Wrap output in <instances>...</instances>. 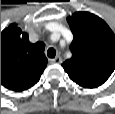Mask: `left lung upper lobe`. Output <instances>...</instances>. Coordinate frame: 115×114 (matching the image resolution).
I'll use <instances>...</instances> for the list:
<instances>
[{
  "mask_svg": "<svg viewBox=\"0 0 115 114\" xmlns=\"http://www.w3.org/2000/svg\"><path fill=\"white\" fill-rule=\"evenodd\" d=\"M67 21L74 35L72 58L62 67L78 85L97 88L115 69V35L105 21L89 12H76Z\"/></svg>",
  "mask_w": 115,
  "mask_h": 114,
  "instance_id": "5c2ea615",
  "label": "left lung upper lobe"
}]
</instances>
